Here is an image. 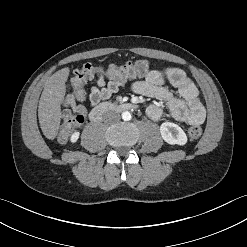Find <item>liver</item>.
Listing matches in <instances>:
<instances>
[{
    "instance_id": "1",
    "label": "liver",
    "mask_w": 247,
    "mask_h": 247,
    "mask_svg": "<svg viewBox=\"0 0 247 247\" xmlns=\"http://www.w3.org/2000/svg\"><path fill=\"white\" fill-rule=\"evenodd\" d=\"M69 68L55 72L44 84L38 106L40 128L50 140L56 138L61 121V103L66 93Z\"/></svg>"
}]
</instances>
